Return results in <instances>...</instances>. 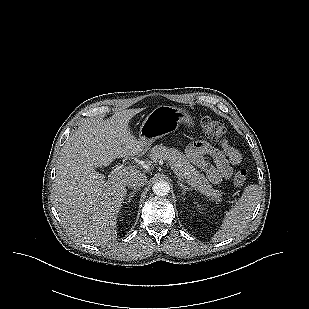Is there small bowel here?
<instances>
[{
	"label": "small bowel",
	"instance_id": "c3829d8e",
	"mask_svg": "<svg viewBox=\"0 0 309 309\" xmlns=\"http://www.w3.org/2000/svg\"><path fill=\"white\" fill-rule=\"evenodd\" d=\"M187 152L194 161L201 163L209 181L213 184H219L224 179L230 178L233 173V166L238 165L242 159L240 151L226 140L221 142L220 149L206 142L197 141L188 147ZM203 154L210 155L214 160L215 166H208L202 161L201 156Z\"/></svg>",
	"mask_w": 309,
	"mask_h": 309
}]
</instances>
